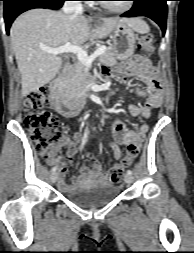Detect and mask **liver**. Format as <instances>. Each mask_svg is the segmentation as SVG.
<instances>
[{
  "instance_id": "1",
  "label": "liver",
  "mask_w": 194,
  "mask_h": 253,
  "mask_svg": "<svg viewBox=\"0 0 194 253\" xmlns=\"http://www.w3.org/2000/svg\"><path fill=\"white\" fill-rule=\"evenodd\" d=\"M119 23L141 34L149 31L140 18L102 19L101 25L91 29L81 14L32 9L20 15L11 26L10 38L21 74L22 95L48 84L60 70L61 58L42 51V46L57 48L67 42L82 45L90 39L105 38Z\"/></svg>"
}]
</instances>
